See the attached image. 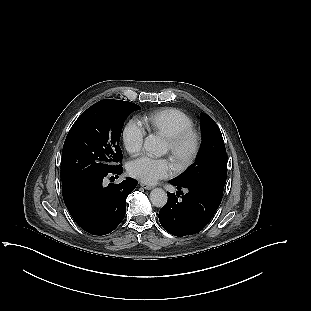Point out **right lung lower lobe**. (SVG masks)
I'll return each mask as SVG.
<instances>
[{"instance_id": "98d812e1", "label": "right lung lower lobe", "mask_w": 311, "mask_h": 311, "mask_svg": "<svg viewBox=\"0 0 311 311\" xmlns=\"http://www.w3.org/2000/svg\"><path fill=\"white\" fill-rule=\"evenodd\" d=\"M122 166L109 173L90 174L64 184L62 188L65 205L75 222L86 232L105 235L113 231L123 220L126 198L138 182L128 177L119 184L103 186L109 175L118 177Z\"/></svg>"}]
</instances>
